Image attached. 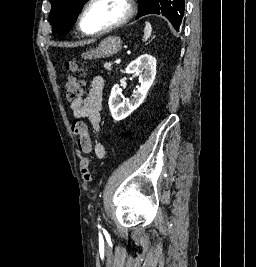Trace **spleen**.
Listing matches in <instances>:
<instances>
[{
    "label": "spleen",
    "mask_w": 256,
    "mask_h": 267,
    "mask_svg": "<svg viewBox=\"0 0 256 267\" xmlns=\"http://www.w3.org/2000/svg\"><path fill=\"white\" fill-rule=\"evenodd\" d=\"M151 34H152V26H151L150 22H145L143 42H147V40H148V38H150Z\"/></svg>",
    "instance_id": "spleen-1"
}]
</instances>
